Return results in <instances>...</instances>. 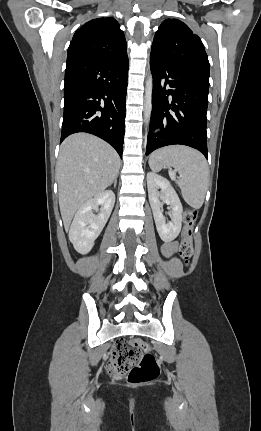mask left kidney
<instances>
[{
	"label": "left kidney",
	"instance_id": "obj_1",
	"mask_svg": "<svg viewBox=\"0 0 261 431\" xmlns=\"http://www.w3.org/2000/svg\"><path fill=\"white\" fill-rule=\"evenodd\" d=\"M147 188L159 236L164 242H171L181 231L183 207L180 199L168 180L154 172L147 174ZM158 189H161V191L159 192ZM159 198L172 209L171 222L168 224H166L162 214L161 207L163 203L160 202Z\"/></svg>",
	"mask_w": 261,
	"mask_h": 431
}]
</instances>
